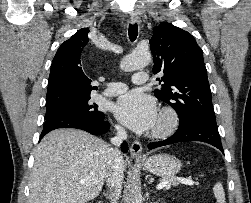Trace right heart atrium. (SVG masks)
<instances>
[{
	"label": "right heart atrium",
	"mask_w": 251,
	"mask_h": 203,
	"mask_svg": "<svg viewBox=\"0 0 251 203\" xmlns=\"http://www.w3.org/2000/svg\"><path fill=\"white\" fill-rule=\"evenodd\" d=\"M116 129H117V131L120 132V133L123 131V129H122L119 125L116 126Z\"/></svg>",
	"instance_id": "obj_1"
}]
</instances>
